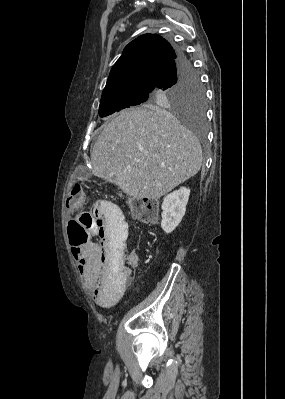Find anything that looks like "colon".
I'll return each instance as SVG.
<instances>
[{
  "label": "colon",
  "instance_id": "1",
  "mask_svg": "<svg viewBox=\"0 0 285 399\" xmlns=\"http://www.w3.org/2000/svg\"><path fill=\"white\" fill-rule=\"evenodd\" d=\"M86 205V198L83 188L79 183H73L69 188L66 206L73 214V218L68 221L67 231L72 245H82L93 242L98 236L88 234L86 225L91 222V216L83 209ZM131 214L139 220L148 223H156L159 220V203L156 199L144 198L143 200H132L128 204ZM114 256L117 253V246L113 245L109 249ZM131 255L125 256V265L119 267V275L125 279L131 275L129 262Z\"/></svg>",
  "mask_w": 285,
  "mask_h": 399
}]
</instances>
